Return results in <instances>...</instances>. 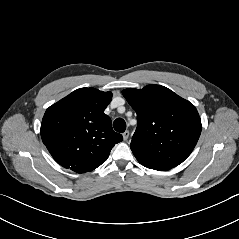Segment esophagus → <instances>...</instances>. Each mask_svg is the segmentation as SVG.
I'll return each instance as SVG.
<instances>
[{"mask_svg": "<svg viewBox=\"0 0 239 239\" xmlns=\"http://www.w3.org/2000/svg\"><path fill=\"white\" fill-rule=\"evenodd\" d=\"M128 138H129V131L126 130V131L123 133V139H124V141H126Z\"/></svg>", "mask_w": 239, "mask_h": 239, "instance_id": "1", "label": "esophagus"}]
</instances>
